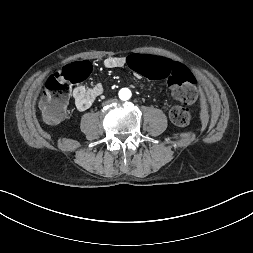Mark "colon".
Segmentation results:
<instances>
[{
  "instance_id": "5ec220e1",
  "label": "colon",
  "mask_w": 253,
  "mask_h": 253,
  "mask_svg": "<svg viewBox=\"0 0 253 253\" xmlns=\"http://www.w3.org/2000/svg\"><path fill=\"white\" fill-rule=\"evenodd\" d=\"M126 68L132 74L165 79L174 97L183 103H192L197 98L194 77L174 59L148 53H132L126 59ZM90 69L88 62L76 63L66 66L49 78L40 101L47 122L56 123L65 116L72 86L85 80ZM170 118L174 124L186 126L190 123L192 114L186 107L175 106L170 110Z\"/></svg>"
}]
</instances>
